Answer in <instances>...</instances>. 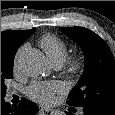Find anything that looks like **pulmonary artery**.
<instances>
[{"label": "pulmonary artery", "instance_id": "e3ab8cb5", "mask_svg": "<svg viewBox=\"0 0 115 115\" xmlns=\"http://www.w3.org/2000/svg\"><path fill=\"white\" fill-rule=\"evenodd\" d=\"M56 68H59L61 65H59V64H55L54 65Z\"/></svg>", "mask_w": 115, "mask_h": 115}]
</instances>
